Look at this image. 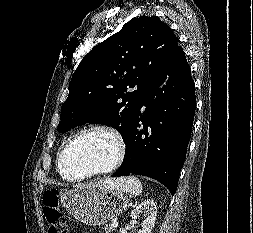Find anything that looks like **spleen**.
Wrapping results in <instances>:
<instances>
[{
  "label": "spleen",
  "instance_id": "obj_1",
  "mask_svg": "<svg viewBox=\"0 0 253 233\" xmlns=\"http://www.w3.org/2000/svg\"><path fill=\"white\" fill-rule=\"evenodd\" d=\"M109 187L112 189H118L122 192H127L135 196L141 194L143 190L141 181L135 176L111 179Z\"/></svg>",
  "mask_w": 253,
  "mask_h": 233
}]
</instances>
